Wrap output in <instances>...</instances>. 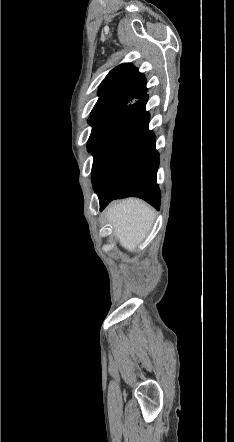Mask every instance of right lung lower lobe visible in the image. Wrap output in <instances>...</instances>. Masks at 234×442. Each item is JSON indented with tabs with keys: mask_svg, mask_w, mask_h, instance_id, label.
<instances>
[{
	"mask_svg": "<svg viewBox=\"0 0 234 442\" xmlns=\"http://www.w3.org/2000/svg\"><path fill=\"white\" fill-rule=\"evenodd\" d=\"M144 95L122 111L92 151V182L100 210L113 199L135 196L159 210L160 191L156 181L159 153L155 135L148 129L149 113Z\"/></svg>",
	"mask_w": 234,
	"mask_h": 442,
	"instance_id": "obj_1",
	"label": "right lung lower lobe"
}]
</instances>
